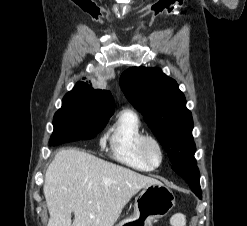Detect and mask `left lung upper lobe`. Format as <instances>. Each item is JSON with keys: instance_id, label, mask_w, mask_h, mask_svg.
<instances>
[{"instance_id": "left-lung-upper-lobe-1", "label": "left lung upper lobe", "mask_w": 247, "mask_h": 226, "mask_svg": "<svg viewBox=\"0 0 247 226\" xmlns=\"http://www.w3.org/2000/svg\"><path fill=\"white\" fill-rule=\"evenodd\" d=\"M120 87L144 116L173 166L196 162L192 114L174 79L157 68L132 67L121 75Z\"/></svg>"}]
</instances>
